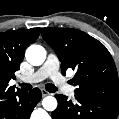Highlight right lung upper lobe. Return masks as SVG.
<instances>
[{
  "label": "right lung upper lobe",
  "instance_id": "obj_1",
  "mask_svg": "<svg viewBox=\"0 0 119 119\" xmlns=\"http://www.w3.org/2000/svg\"><path fill=\"white\" fill-rule=\"evenodd\" d=\"M39 34L40 28L0 33V94L15 91V86H9V81L15 78L14 73L20 69L25 49Z\"/></svg>",
  "mask_w": 119,
  "mask_h": 119
}]
</instances>
